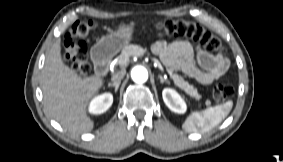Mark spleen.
Segmentation results:
<instances>
[{
  "label": "spleen",
  "instance_id": "3e777b00",
  "mask_svg": "<svg viewBox=\"0 0 283 162\" xmlns=\"http://www.w3.org/2000/svg\"><path fill=\"white\" fill-rule=\"evenodd\" d=\"M232 101L222 105L209 107L201 112H192L184 121L182 127L187 132H207L221 123L230 113Z\"/></svg>",
  "mask_w": 283,
  "mask_h": 162
}]
</instances>
